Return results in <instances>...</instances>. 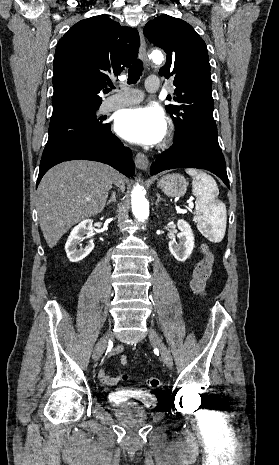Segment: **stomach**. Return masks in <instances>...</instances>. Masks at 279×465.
Returning a JSON list of instances; mask_svg holds the SVG:
<instances>
[{"mask_svg":"<svg viewBox=\"0 0 279 465\" xmlns=\"http://www.w3.org/2000/svg\"><path fill=\"white\" fill-rule=\"evenodd\" d=\"M187 185L186 179L178 173L163 176L157 183V186L170 197L183 196L186 193Z\"/></svg>","mask_w":279,"mask_h":465,"instance_id":"0dacf381","label":"stomach"}]
</instances>
